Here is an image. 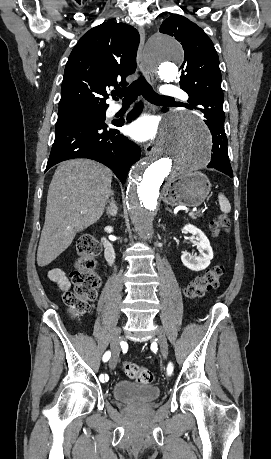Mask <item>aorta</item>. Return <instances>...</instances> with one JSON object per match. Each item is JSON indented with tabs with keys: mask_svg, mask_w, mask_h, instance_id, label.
I'll return each mask as SVG.
<instances>
[{
	"mask_svg": "<svg viewBox=\"0 0 271 459\" xmlns=\"http://www.w3.org/2000/svg\"><path fill=\"white\" fill-rule=\"evenodd\" d=\"M147 61L161 79L171 82L178 74L183 49L172 37L153 38L146 49ZM211 159L210 135L204 123L185 111L173 112L165 120L153 155L133 166L127 185V208L131 222L144 240L153 237L160 186L167 179L190 175Z\"/></svg>",
	"mask_w": 271,
	"mask_h": 459,
	"instance_id": "762f6f07",
	"label": "aorta"
}]
</instances>
